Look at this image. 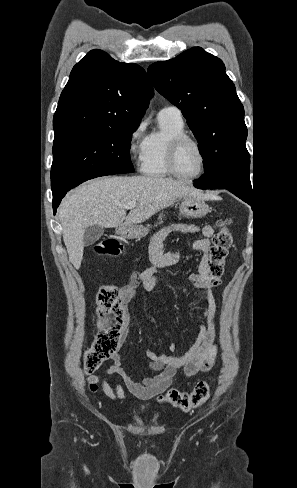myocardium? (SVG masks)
<instances>
[{
    "label": "myocardium",
    "mask_w": 297,
    "mask_h": 488,
    "mask_svg": "<svg viewBox=\"0 0 297 488\" xmlns=\"http://www.w3.org/2000/svg\"><path fill=\"white\" fill-rule=\"evenodd\" d=\"M185 143H192L196 146L198 149L200 156H201V166L198 172H196L193 175L186 176L183 175L177 168V156L180 148L185 144ZM166 164L167 167L170 171V173L181 179V180H186V181H191L199 178L201 175L204 174L207 166V154L206 150L203 147V145L194 137L188 135V134H181L176 137H174L168 145L167 148V153H166Z\"/></svg>",
    "instance_id": "1"
}]
</instances>
